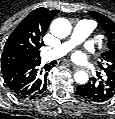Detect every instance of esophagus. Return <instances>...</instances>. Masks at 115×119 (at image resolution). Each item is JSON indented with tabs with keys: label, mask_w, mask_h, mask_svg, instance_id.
Masks as SVG:
<instances>
[{
	"label": "esophagus",
	"mask_w": 115,
	"mask_h": 119,
	"mask_svg": "<svg viewBox=\"0 0 115 119\" xmlns=\"http://www.w3.org/2000/svg\"><path fill=\"white\" fill-rule=\"evenodd\" d=\"M70 66H71L74 70H79V69H81L80 66L75 65V64H72V63H70Z\"/></svg>",
	"instance_id": "1"
}]
</instances>
